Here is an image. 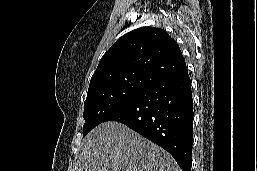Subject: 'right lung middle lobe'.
<instances>
[{"label":"right lung middle lobe","instance_id":"1","mask_svg":"<svg viewBox=\"0 0 257 171\" xmlns=\"http://www.w3.org/2000/svg\"><path fill=\"white\" fill-rule=\"evenodd\" d=\"M147 87L142 83H114L89 89L84 102L83 136Z\"/></svg>","mask_w":257,"mask_h":171}]
</instances>
